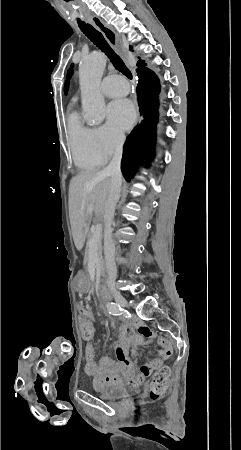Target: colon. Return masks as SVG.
Listing matches in <instances>:
<instances>
[{"mask_svg":"<svg viewBox=\"0 0 241 450\" xmlns=\"http://www.w3.org/2000/svg\"><path fill=\"white\" fill-rule=\"evenodd\" d=\"M79 335L86 339L94 338L93 321L86 319L84 323L79 324ZM164 351L162 352V354ZM171 368H166L164 372L160 369L154 374L151 383L149 384L148 396L151 401H157L164 397L168 388L169 375L172 374Z\"/></svg>","mask_w":241,"mask_h":450,"instance_id":"colon-1","label":"colon"}]
</instances>
